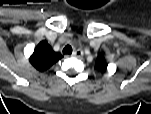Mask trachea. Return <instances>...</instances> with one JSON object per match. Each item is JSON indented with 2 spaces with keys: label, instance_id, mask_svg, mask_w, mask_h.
Listing matches in <instances>:
<instances>
[{
  "label": "trachea",
  "instance_id": "3493384b",
  "mask_svg": "<svg viewBox=\"0 0 151 114\" xmlns=\"http://www.w3.org/2000/svg\"><path fill=\"white\" fill-rule=\"evenodd\" d=\"M64 54H71L72 53V47L70 45H66L63 49Z\"/></svg>",
  "mask_w": 151,
  "mask_h": 114
}]
</instances>
